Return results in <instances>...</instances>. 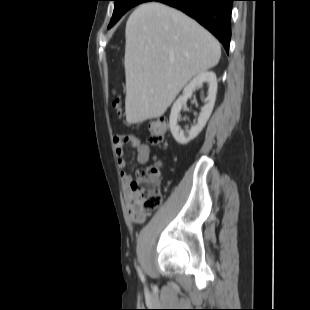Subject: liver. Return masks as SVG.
Here are the masks:
<instances>
[{
  "label": "liver",
  "instance_id": "6515ba94",
  "mask_svg": "<svg viewBox=\"0 0 310 310\" xmlns=\"http://www.w3.org/2000/svg\"><path fill=\"white\" fill-rule=\"evenodd\" d=\"M125 113L129 124L162 116L196 75L216 66L219 42L184 13L157 2L130 15L125 30Z\"/></svg>",
  "mask_w": 310,
  "mask_h": 310
}]
</instances>
